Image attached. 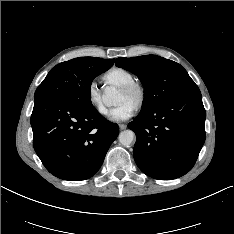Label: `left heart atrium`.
I'll use <instances>...</instances> for the list:
<instances>
[{
  "label": "left heart atrium",
  "instance_id": "39dd6f15",
  "mask_svg": "<svg viewBox=\"0 0 234 234\" xmlns=\"http://www.w3.org/2000/svg\"><path fill=\"white\" fill-rule=\"evenodd\" d=\"M134 110V106L130 105L129 103L123 102L111 109L109 118L112 121L116 122L125 121L133 116Z\"/></svg>",
  "mask_w": 234,
  "mask_h": 234
}]
</instances>
